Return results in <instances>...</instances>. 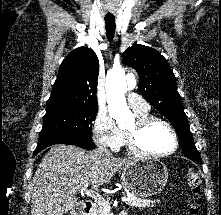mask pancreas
Returning <instances> with one entry per match:
<instances>
[{
    "instance_id": "1",
    "label": "pancreas",
    "mask_w": 221,
    "mask_h": 215,
    "mask_svg": "<svg viewBox=\"0 0 221 215\" xmlns=\"http://www.w3.org/2000/svg\"><path fill=\"white\" fill-rule=\"evenodd\" d=\"M131 199L126 202L130 207L145 208L149 206H154L155 203L159 202L158 200H148L138 198L137 196L130 195ZM110 205L106 201H101L98 203V209L95 215H110Z\"/></svg>"
}]
</instances>
